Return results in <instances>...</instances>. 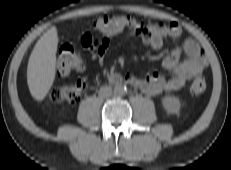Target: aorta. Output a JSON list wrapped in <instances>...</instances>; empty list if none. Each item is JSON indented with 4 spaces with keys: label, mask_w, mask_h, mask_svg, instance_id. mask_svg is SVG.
Instances as JSON below:
<instances>
[{
    "label": "aorta",
    "mask_w": 231,
    "mask_h": 170,
    "mask_svg": "<svg viewBox=\"0 0 231 170\" xmlns=\"http://www.w3.org/2000/svg\"><path fill=\"white\" fill-rule=\"evenodd\" d=\"M114 92L117 94V95H125L127 93V88L125 85L119 83V84H116L115 87H114Z\"/></svg>",
    "instance_id": "aorta-1"
}]
</instances>
